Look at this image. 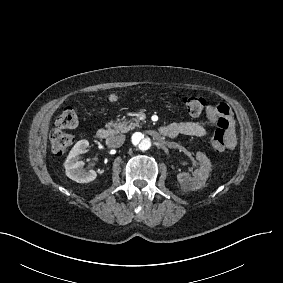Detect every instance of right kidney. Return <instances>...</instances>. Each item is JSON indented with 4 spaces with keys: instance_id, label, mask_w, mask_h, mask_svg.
I'll use <instances>...</instances> for the list:
<instances>
[{
    "instance_id": "1",
    "label": "right kidney",
    "mask_w": 283,
    "mask_h": 283,
    "mask_svg": "<svg viewBox=\"0 0 283 283\" xmlns=\"http://www.w3.org/2000/svg\"><path fill=\"white\" fill-rule=\"evenodd\" d=\"M89 146V142L85 139L78 141L69 152L67 159L64 163L66 175L78 182L88 183L95 180L97 174L94 170L84 171V162L78 160V156L86 151Z\"/></svg>"
}]
</instances>
